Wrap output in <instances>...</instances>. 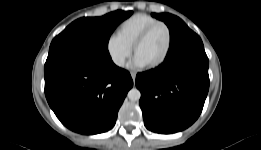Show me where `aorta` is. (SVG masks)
<instances>
[{
  "label": "aorta",
  "mask_w": 261,
  "mask_h": 150,
  "mask_svg": "<svg viewBox=\"0 0 261 150\" xmlns=\"http://www.w3.org/2000/svg\"><path fill=\"white\" fill-rule=\"evenodd\" d=\"M128 98L131 101H138L141 97V93L137 88H132L129 92H128Z\"/></svg>",
  "instance_id": "aorta-1"
}]
</instances>
